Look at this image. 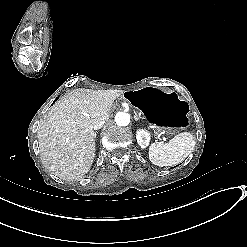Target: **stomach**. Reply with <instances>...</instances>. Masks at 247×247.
<instances>
[{
	"label": "stomach",
	"instance_id": "stomach-1",
	"mask_svg": "<svg viewBox=\"0 0 247 247\" xmlns=\"http://www.w3.org/2000/svg\"><path fill=\"white\" fill-rule=\"evenodd\" d=\"M124 96L158 131L172 135L188 125L189 105L173 91L144 87Z\"/></svg>",
	"mask_w": 247,
	"mask_h": 247
}]
</instances>
